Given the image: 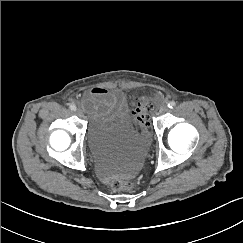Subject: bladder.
I'll return each instance as SVG.
<instances>
[{
  "instance_id": "obj_1",
  "label": "bladder",
  "mask_w": 243,
  "mask_h": 243,
  "mask_svg": "<svg viewBox=\"0 0 243 243\" xmlns=\"http://www.w3.org/2000/svg\"><path fill=\"white\" fill-rule=\"evenodd\" d=\"M86 137L93 154L114 159L118 175H132L139 170L147 139L134 128L127 110L94 115Z\"/></svg>"
}]
</instances>
